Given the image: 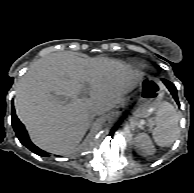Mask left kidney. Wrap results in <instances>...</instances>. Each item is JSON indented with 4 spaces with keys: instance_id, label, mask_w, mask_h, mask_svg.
Masks as SVG:
<instances>
[{
    "instance_id": "obj_1",
    "label": "left kidney",
    "mask_w": 194,
    "mask_h": 193,
    "mask_svg": "<svg viewBox=\"0 0 194 193\" xmlns=\"http://www.w3.org/2000/svg\"><path fill=\"white\" fill-rule=\"evenodd\" d=\"M135 141L136 147L143 155H152L155 153V148L147 134H138L135 138Z\"/></svg>"
}]
</instances>
